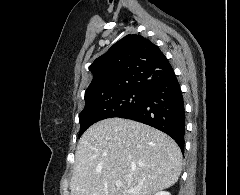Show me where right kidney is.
Returning a JSON list of instances; mask_svg holds the SVG:
<instances>
[{
  "instance_id": "right-kidney-1",
  "label": "right kidney",
  "mask_w": 240,
  "mask_h": 195,
  "mask_svg": "<svg viewBox=\"0 0 240 195\" xmlns=\"http://www.w3.org/2000/svg\"><path fill=\"white\" fill-rule=\"evenodd\" d=\"M154 195H171V193L169 191H157Z\"/></svg>"
}]
</instances>
